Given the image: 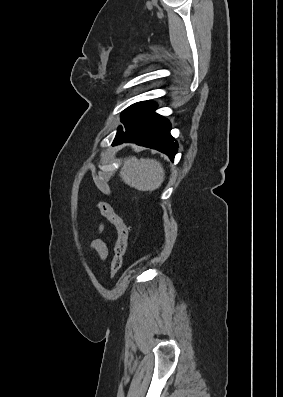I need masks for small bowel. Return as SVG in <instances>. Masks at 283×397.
Returning a JSON list of instances; mask_svg holds the SVG:
<instances>
[{"instance_id": "1", "label": "small bowel", "mask_w": 283, "mask_h": 397, "mask_svg": "<svg viewBox=\"0 0 283 397\" xmlns=\"http://www.w3.org/2000/svg\"><path fill=\"white\" fill-rule=\"evenodd\" d=\"M103 229H104V226L102 224H100L98 227V231L102 232ZM91 248L99 254L101 260L106 259L107 255H108V246H107L106 241L99 239V238L95 239L91 243Z\"/></svg>"}]
</instances>
